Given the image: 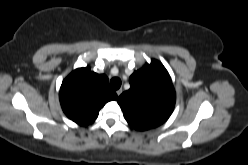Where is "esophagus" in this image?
Returning a JSON list of instances; mask_svg holds the SVG:
<instances>
[{"label": "esophagus", "mask_w": 248, "mask_h": 165, "mask_svg": "<svg viewBox=\"0 0 248 165\" xmlns=\"http://www.w3.org/2000/svg\"><path fill=\"white\" fill-rule=\"evenodd\" d=\"M122 88H120V89H118L117 91H116V94L118 95V96H120L121 94H122Z\"/></svg>", "instance_id": "esophagus-1"}]
</instances>
